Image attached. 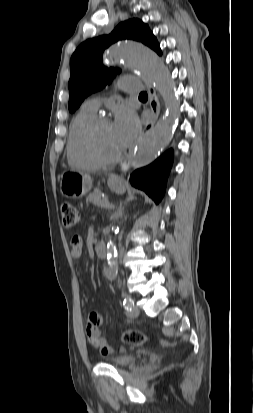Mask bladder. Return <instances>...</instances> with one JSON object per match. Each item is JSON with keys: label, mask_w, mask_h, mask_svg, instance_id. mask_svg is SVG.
I'll return each mask as SVG.
<instances>
[{"label": "bladder", "mask_w": 253, "mask_h": 413, "mask_svg": "<svg viewBox=\"0 0 253 413\" xmlns=\"http://www.w3.org/2000/svg\"><path fill=\"white\" fill-rule=\"evenodd\" d=\"M137 360V356L129 353L122 352L111 359V362L118 367H128L132 365Z\"/></svg>", "instance_id": "1"}]
</instances>
